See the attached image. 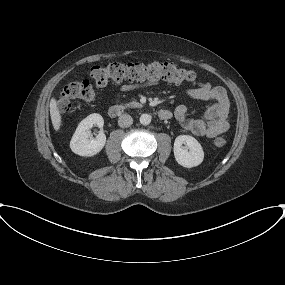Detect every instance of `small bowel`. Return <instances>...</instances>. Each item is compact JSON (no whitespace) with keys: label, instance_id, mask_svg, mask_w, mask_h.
<instances>
[{"label":"small bowel","instance_id":"c3829d8e","mask_svg":"<svg viewBox=\"0 0 285 285\" xmlns=\"http://www.w3.org/2000/svg\"><path fill=\"white\" fill-rule=\"evenodd\" d=\"M153 80L138 83L122 84L119 87L118 96L131 92L151 84ZM186 94L198 100L211 101L200 119L188 117V107L179 105L175 110V118L180 127L196 136L214 138L229 128V99L226 90L221 86H214L208 82H195L192 87L186 89Z\"/></svg>","mask_w":285,"mask_h":285}]
</instances>
